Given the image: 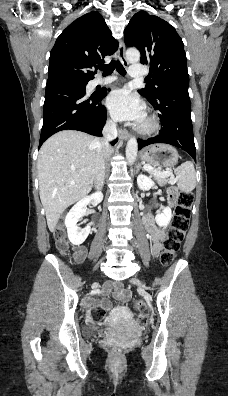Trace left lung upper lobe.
Wrapping results in <instances>:
<instances>
[{"label":"left lung upper lobe","mask_w":228,"mask_h":396,"mask_svg":"<svg viewBox=\"0 0 228 396\" xmlns=\"http://www.w3.org/2000/svg\"><path fill=\"white\" fill-rule=\"evenodd\" d=\"M125 44L141 52L140 62L150 66V83L138 92L157 100L170 88L189 86L183 42L173 26L145 11L136 13L124 30ZM180 100H177L179 103Z\"/></svg>","instance_id":"5c2ea615"}]
</instances>
